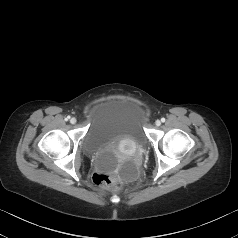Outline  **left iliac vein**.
I'll return each mask as SVG.
<instances>
[{"mask_svg": "<svg viewBox=\"0 0 238 238\" xmlns=\"http://www.w3.org/2000/svg\"><path fill=\"white\" fill-rule=\"evenodd\" d=\"M155 124H156V126H160V125H161V121H160V120H157V121L155 122Z\"/></svg>", "mask_w": 238, "mask_h": 238, "instance_id": "obj_1", "label": "left iliac vein"}]
</instances>
